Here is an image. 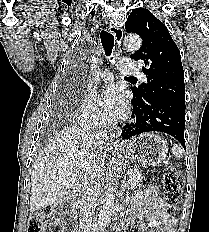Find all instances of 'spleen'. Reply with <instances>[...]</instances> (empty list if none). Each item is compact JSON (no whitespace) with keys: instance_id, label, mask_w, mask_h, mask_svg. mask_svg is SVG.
<instances>
[{"instance_id":"spleen-1","label":"spleen","mask_w":209,"mask_h":232,"mask_svg":"<svg viewBox=\"0 0 209 232\" xmlns=\"http://www.w3.org/2000/svg\"><path fill=\"white\" fill-rule=\"evenodd\" d=\"M172 152L176 157H182L183 155V150L181 149L179 145H176V144L173 145Z\"/></svg>"}]
</instances>
